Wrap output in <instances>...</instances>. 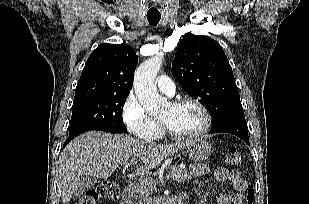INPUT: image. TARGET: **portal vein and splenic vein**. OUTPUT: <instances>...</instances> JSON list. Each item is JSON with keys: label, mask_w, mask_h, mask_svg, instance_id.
<instances>
[{"label": "portal vein and splenic vein", "mask_w": 309, "mask_h": 204, "mask_svg": "<svg viewBox=\"0 0 309 204\" xmlns=\"http://www.w3.org/2000/svg\"><path fill=\"white\" fill-rule=\"evenodd\" d=\"M124 167L126 168V167H127V165H124ZM166 177H167V178H169V175L167 174V175H166ZM140 181H141V179H140Z\"/></svg>", "instance_id": "obj_1"}]
</instances>
